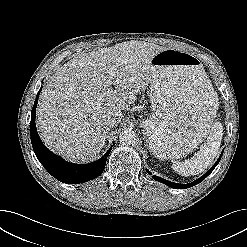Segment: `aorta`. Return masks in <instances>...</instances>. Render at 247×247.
Segmentation results:
<instances>
[{"label": "aorta", "instance_id": "1", "mask_svg": "<svg viewBox=\"0 0 247 247\" xmlns=\"http://www.w3.org/2000/svg\"><path fill=\"white\" fill-rule=\"evenodd\" d=\"M136 140V134L131 130H124L120 133L119 141L123 145L133 144Z\"/></svg>", "mask_w": 247, "mask_h": 247}]
</instances>
